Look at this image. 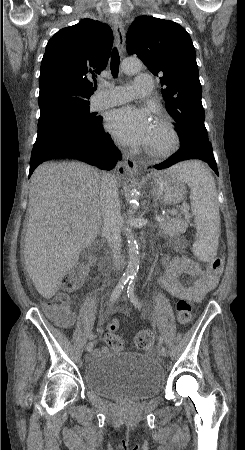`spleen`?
Returning a JSON list of instances; mask_svg holds the SVG:
<instances>
[{"label": "spleen", "mask_w": 245, "mask_h": 450, "mask_svg": "<svg viewBox=\"0 0 245 450\" xmlns=\"http://www.w3.org/2000/svg\"><path fill=\"white\" fill-rule=\"evenodd\" d=\"M185 181L190 189L192 213L198 234L192 251L201 261L216 256L220 233L218 193L211 172L199 161H186L169 169Z\"/></svg>", "instance_id": "1"}]
</instances>
